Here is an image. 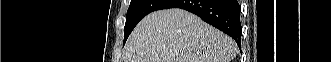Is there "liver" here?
I'll return each mask as SVG.
<instances>
[{"instance_id":"1","label":"liver","mask_w":331,"mask_h":62,"mask_svg":"<svg viewBox=\"0 0 331 62\" xmlns=\"http://www.w3.org/2000/svg\"><path fill=\"white\" fill-rule=\"evenodd\" d=\"M237 45L198 16L179 8L143 18L131 33L124 62H230Z\"/></svg>"}]
</instances>
